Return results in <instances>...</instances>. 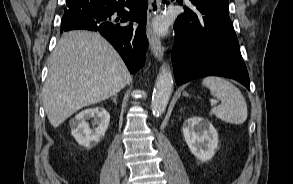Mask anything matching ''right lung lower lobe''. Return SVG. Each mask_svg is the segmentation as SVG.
<instances>
[{"instance_id": "98d812e1", "label": "right lung lower lobe", "mask_w": 293, "mask_h": 184, "mask_svg": "<svg viewBox=\"0 0 293 184\" xmlns=\"http://www.w3.org/2000/svg\"><path fill=\"white\" fill-rule=\"evenodd\" d=\"M147 0H94L65 12L61 32L72 29L98 31L119 52L129 71L137 72L145 62ZM117 14L121 18H114ZM124 22H139L137 29Z\"/></svg>"}]
</instances>
